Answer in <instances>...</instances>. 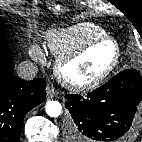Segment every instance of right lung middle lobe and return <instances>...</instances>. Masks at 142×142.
I'll return each mask as SVG.
<instances>
[{
	"instance_id": "1",
	"label": "right lung middle lobe",
	"mask_w": 142,
	"mask_h": 142,
	"mask_svg": "<svg viewBox=\"0 0 142 142\" xmlns=\"http://www.w3.org/2000/svg\"><path fill=\"white\" fill-rule=\"evenodd\" d=\"M5 33H6L5 23L4 20L0 17V49H6L11 51L8 46L9 44Z\"/></svg>"
}]
</instances>
